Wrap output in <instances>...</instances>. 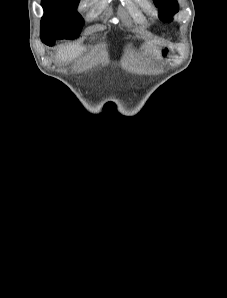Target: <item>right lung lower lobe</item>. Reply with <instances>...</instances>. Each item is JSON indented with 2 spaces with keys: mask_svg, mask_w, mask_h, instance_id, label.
Instances as JSON below:
<instances>
[{
  "mask_svg": "<svg viewBox=\"0 0 227 298\" xmlns=\"http://www.w3.org/2000/svg\"><path fill=\"white\" fill-rule=\"evenodd\" d=\"M56 24V23H55ZM41 40L43 43H45L46 45H49V46H53L54 45V40L53 38L51 37H47V36H44V37H41Z\"/></svg>",
  "mask_w": 227,
  "mask_h": 298,
  "instance_id": "right-lung-lower-lobe-1",
  "label": "right lung lower lobe"
}]
</instances>
